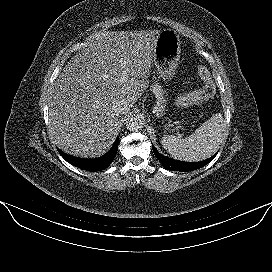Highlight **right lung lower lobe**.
I'll use <instances>...</instances> for the list:
<instances>
[{"mask_svg": "<svg viewBox=\"0 0 272 272\" xmlns=\"http://www.w3.org/2000/svg\"><path fill=\"white\" fill-rule=\"evenodd\" d=\"M118 142L119 139L117 137L110 151L97 159L77 158L62 152L60 149L57 150L60 153V155L73 166L83 170L95 172L106 169L112 163V161L116 157V153L118 150Z\"/></svg>", "mask_w": 272, "mask_h": 272, "instance_id": "obj_1", "label": "right lung lower lobe"}]
</instances>
